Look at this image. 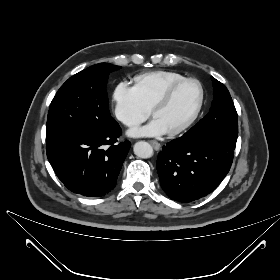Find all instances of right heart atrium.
<instances>
[{
    "mask_svg": "<svg viewBox=\"0 0 280 280\" xmlns=\"http://www.w3.org/2000/svg\"><path fill=\"white\" fill-rule=\"evenodd\" d=\"M113 101L117 119L127 127H136L149 116V108L127 82H120L115 87Z\"/></svg>",
    "mask_w": 280,
    "mask_h": 280,
    "instance_id": "1",
    "label": "right heart atrium"
}]
</instances>
